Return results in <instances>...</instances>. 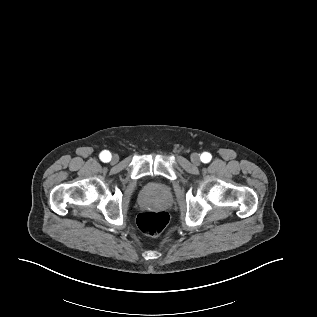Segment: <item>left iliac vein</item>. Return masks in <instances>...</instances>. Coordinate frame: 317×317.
Instances as JSON below:
<instances>
[{"mask_svg":"<svg viewBox=\"0 0 317 317\" xmlns=\"http://www.w3.org/2000/svg\"><path fill=\"white\" fill-rule=\"evenodd\" d=\"M191 161L194 165L198 166L200 165V157L199 154L197 153H193L191 154Z\"/></svg>","mask_w":317,"mask_h":317,"instance_id":"obj_1","label":"left iliac vein"}]
</instances>
